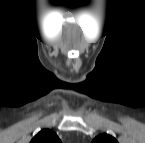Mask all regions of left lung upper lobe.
Instances as JSON below:
<instances>
[{"label": "left lung upper lobe", "instance_id": "5c2ea615", "mask_svg": "<svg viewBox=\"0 0 145 143\" xmlns=\"http://www.w3.org/2000/svg\"><path fill=\"white\" fill-rule=\"evenodd\" d=\"M93 143H117V140L108 134H102L94 138Z\"/></svg>", "mask_w": 145, "mask_h": 143}]
</instances>
